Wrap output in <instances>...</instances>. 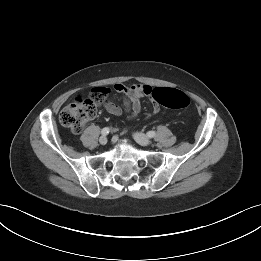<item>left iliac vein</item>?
Returning a JSON list of instances; mask_svg holds the SVG:
<instances>
[{"label":"left iliac vein","mask_w":261,"mask_h":261,"mask_svg":"<svg viewBox=\"0 0 261 261\" xmlns=\"http://www.w3.org/2000/svg\"><path fill=\"white\" fill-rule=\"evenodd\" d=\"M133 137L135 141L142 146H148L151 144L150 139L142 133L136 132L133 134Z\"/></svg>","instance_id":"left-iliac-vein-1"}]
</instances>
